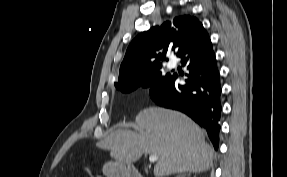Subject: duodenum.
I'll use <instances>...</instances> for the list:
<instances>
[{"mask_svg": "<svg viewBox=\"0 0 287 177\" xmlns=\"http://www.w3.org/2000/svg\"><path fill=\"white\" fill-rule=\"evenodd\" d=\"M114 174H120L124 177H143L139 174L138 170L135 167L125 166L121 169L114 170Z\"/></svg>", "mask_w": 287, "mask_h": 177, "instance_id": "410a0bca", "label": "duodenum"}]
</instances>
